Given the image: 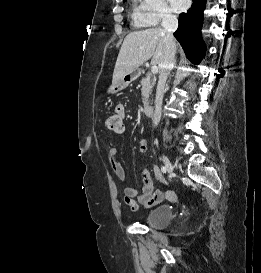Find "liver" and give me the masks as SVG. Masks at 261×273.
<instances>
[{
	"label": "liver",
	"mask_w": 261,
	"mask_h": 273,
	"mask_svg": "<svg viewBox=\"0 0 261 273\" xmlns=\"http://www.w3.org/2000/svg\"><path fill=\"white\" fill-rule=\"evenodd\" d=\"M165 50L166 32L160 27L128 34L117 57L112 85H116L126 74L138 69L149 59L152 65L158 64L160 67Z\"/></svg>",
	"instance_id": "1"
}]
</instances>
